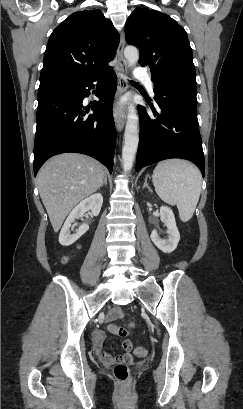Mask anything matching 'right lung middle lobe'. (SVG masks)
Returning <instances> with one entry per match:
<instances>
[{
    "instance_id": "right-lung-middle-lobe-1",
    "label": "right lung middle lobe",
    "mask_w": 243,
    "mask_h": 409,
    "mask_svg": "<svg viewBox=\"0 0 243 409\" xmlns=\"http://www.w3.org/2000/svg\"><path fill=\"white\" fill-rule=\"evenodd\" d=\"M75 82L63 79V78H48V79H43L40 80V86H39V91H43L46 89L54 88V87H60V86H66V85H71L74 84Z\"/></svg>"
}]
</instances>
